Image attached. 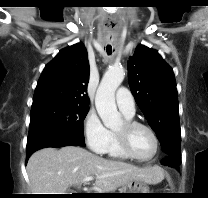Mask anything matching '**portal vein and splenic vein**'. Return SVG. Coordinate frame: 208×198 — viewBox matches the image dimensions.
Returning a JSON list of instances; mask_svg holds the SVG:
<instances>
[{"label": "portal vein and splenic vein", "instance_id": "obj_1", "mask_svg": "<svg viewBox=\"0 0 208 198\" xmlns=\"http://www.w3.org/2000/svg\"><path fill=\"white\" fill-rule=\"evenodd\" d=\"M93 179H94L93 177H86L82 180V183L92 181Z\"/></svg>", "mask_w": 208, "mask_h": 198}]
</instances>
